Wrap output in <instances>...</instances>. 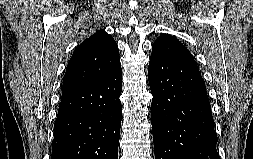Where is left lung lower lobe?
I'll return each mask as SVG.
<instances>
[{
    "mask_svg": "<svg viewBox=\"0 0 253 159\" xmlns=\"http://www.w3.org/2000/svg\"><path fill=\"white\" fill-rule=\"evenodd\" d=\"M155 159H220L207 91L194 60L150 57Z\"/></svg>",
    "mask_w": 253,
    "mask_h": 159,
    "instance_id": "0a47b994",
    "label": "left lung lower lobe"
}]
</instances>
